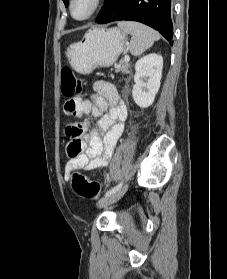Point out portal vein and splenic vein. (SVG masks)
Instances as JSON below:
<instances>
[{
  "label": "portal vein and splenic vein",
  "mask_w": 227,
  "mask_h": 279,
  "mask_svg": "<svg viewBox=\"0 0 227 279\" xmlns=\"http://www.w3.org/2000/svg\"><path fill=\"white\" fill-rule=\"evenodd\" d=\"M124 60H125V62H129V61H130L129 55L126 54V55L124 56Z\"/></svg>",
  "instance_id": "18ae733b"
}]
</instances>
